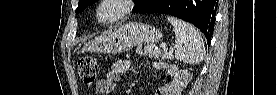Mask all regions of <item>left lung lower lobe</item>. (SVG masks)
<instances>
[{
    "label": "left lung lower lobe",
    "instance_id": "0a47b994",
    "mask_svg": "<svg viewBox=\"0 0 277 95\" xmlns=\"http://www.w3.org/2000/svg\"><path fill=\"white\" fill-rule=\"evenodd\" d=\"M218 0H149L135 13H167L197 26L210 41Z\"/></svg>",
    "mask_w": 277,
    "mask_h": 95
}]
</instances>
